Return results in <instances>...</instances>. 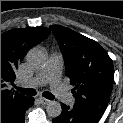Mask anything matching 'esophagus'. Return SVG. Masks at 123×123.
Instances as JSON below:
<instances>
[{
  "mask_svg": "<svg viewBox=\"0 0 123 123\" xmlns=\"http://www.w3.org/2000/svg\"><path fill=\"white\" fill-rule=\"evenodd\" d=\"M39 101L42 103V104H49L51 101L46 99V98H43V97H40L39 98Z\"/></svg>",
  "mask_w": 123,
  "mask_h": 123,
  "instance_id": "34e87169",
  "label": "esophagus"
}]
</instances>
